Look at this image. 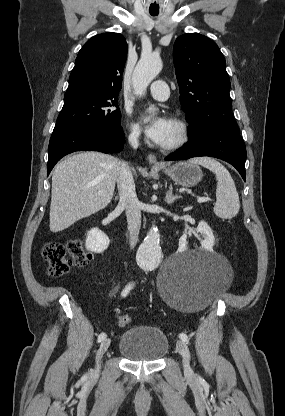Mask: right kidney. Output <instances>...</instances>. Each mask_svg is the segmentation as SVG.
Wrapping results in <instances>:
<instances>
[{
  "label": "right kidney",
  "instance_id": "ca27d5eb",
  "mask_svg": "<svg viewBox=\"0 0 285 416\" xmlns=\"http://www.w3.org/2000/svg\"><path fill=\"white\" fill-rule=\"evenodd\" d=\"M110 244V240L104 232H101L99 228H92L86 234V250L89 252H95V254H102L104 250H107Z\"/></svg>",
  "mask_w": 285,
  "mask_h": 416
}]
</instances>
